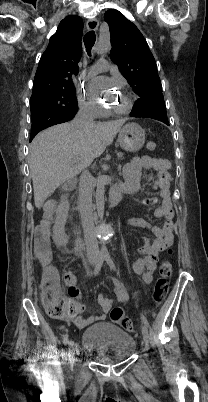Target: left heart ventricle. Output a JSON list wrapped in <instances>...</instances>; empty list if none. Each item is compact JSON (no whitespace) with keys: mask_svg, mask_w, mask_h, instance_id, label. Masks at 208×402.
<instances>
[{"mask_svg":"<svg viewBox=\"0 0 208 402\" xmlns=\"http://www.w3.org/2000/svg\"><path fill=\"white\" fill-rule=\"evenodd\" d=\"M91 94L95 98L97 97V91L96 90L91 91ZM104 100L108 101L111 105L123 106L127 101V97H126V95L124 93H122L119 96L106 97V98H104Z\"/></svg>","mask_w":208,"mask_h":402,"instance_id":"left-heart-ventricle-1","label":"left heart ventricle"}]
</instances>
